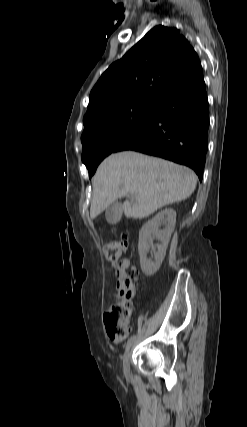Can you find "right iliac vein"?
<instances>
[{
    "instance_id": "obj_1",
    "label": "right iliac vein",
    "mask_w": 247,
    "mask_h": 427,
    "mask_svg": "<svg viewBox=\"0 0 247 427\" xmlns=\"http://www.w3.org/2000/svg\"><path fill=\"white\" fill-rule=\"evenodd\" d=\"M130 354H131V350L130 348L127 350L124 359H123V370L125 373H127L129 371V361H130Z\"/></svg>"
}]
</instances>
